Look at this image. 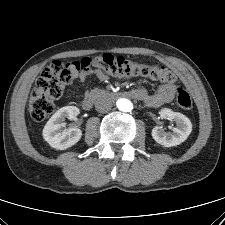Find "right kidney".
<instances>
[{
  "label": "right kidney",
  "instance_id": "right-kidney-1",
  "mask_svg": "<svg viewBox=\"0 0 225 225\" xmlns=\"http://www.w3.org/2000/svg\"><path fill=\"white\" fill-rule=\"evenodd\" d=\"M80 113L75 106H66L56 111L43 128V138L52 147L57 150H65L75 145L82 136L79 128H69L61 130L64 126L63 121L75 119Z\"/></svg>",
  "mask_w": 225,
  "mask_h": 225
}]
</instances>
